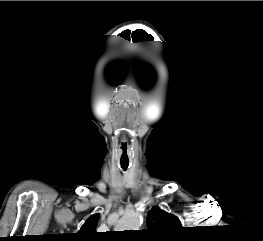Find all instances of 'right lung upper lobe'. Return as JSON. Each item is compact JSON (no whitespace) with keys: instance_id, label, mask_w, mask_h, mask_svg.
Returning a JSON list of instances; mask_svg holds the SVG:
<instances>
[{"instance_id":"right-lung-upper-lobe-1","label":"right lung upper lobe","mask_w":263,"mask_h":241,"mask_svg":"<svg viewBox=\"0 0 263 241\" xmlns=\"http://www.w3.org/2000/svg\"><path fill=\"white\" fill-rule=\"evenodd\" d=\"M99 216L100 214L97 213L86 220L75 236L78 241H96L99 239V235L95 231L99 221Z\"/></svg>"}]
</instances>
